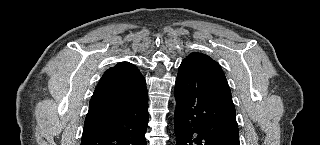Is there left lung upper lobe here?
<instances>
[{
    "label": "left lung upper lobe",
    "instance_id": "obj_1",
    "mask_svg": "<svg viewBox=\"0 0 320 145\" xmlns=\"http://www.w3.org/2000/svg\"><path fill=\"white\" fill-rule=\"evenodd\" d=\"M186 60L192 61V62H194L195 64H198V65H203V66L208 67L210 69L219 70L220 72L223 73L220 65L216 61L211 59L209 56H207V55H205L203 53H199V52L191 53V54L188 55ZM228 104L233 108V110H235L231 94H230V97H229V100H228Z\"/></svg>",
    "mask_w": 320,
    "mask_h": 145
}]
</instances>
